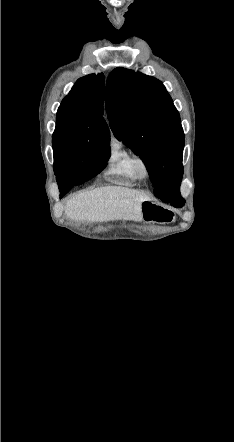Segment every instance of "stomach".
<instances>
[{
    "label": "stomach",
    "mask_w": 234,
    "mask_h": 442,
    "mask_svg": "<svg viewBox=\"0 0 234 442\" xmlns=\"http://www.w3.org/2000/svg\"><path fill=\"white\" fill-rule=\"evenodd\" d=\"M142 220L145 222H154L165 224L174 220V213L168 208L147 200L141 203Z\"/></svg>",
    "instance_id": "obj_1"
}]
</instances>
